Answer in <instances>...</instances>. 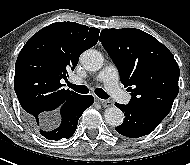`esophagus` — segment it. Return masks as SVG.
<instances>
[{
  "mask_svg": "<svg viewBox=\"0 0 190 165\" xmlns=\"http://www.w3.org/2000/svg\"><path fill=\"white\" fill-rule=\"evenodd\" d=\"M98 102L100 104H102L103 107L107 108V107H111L113 105L112 101L110 100H102V99H98Z\"/></svg>",
  "mask_w": 190,
  "mask_h": 165,
  "instance_id": "34e87169",
  "label": "esophagus"
}]
</instances>
